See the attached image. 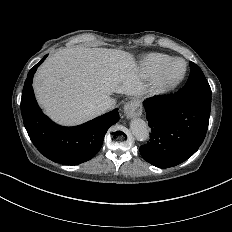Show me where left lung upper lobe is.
<instances>
[{
    "instance_id": "left-lung-upper-lobe-1",
    "label": "left lung upper lobe",
    "mask_w": 232,
    "mask_h": 232,
    "mask_svg": "<svg viewBox=\"0 0 232 232\" xmlns=\"http://www.w3.org/2000/svg\"><path fill=\"white\" fill-rule=\"evenodd\" d=\"M191 73L185 86L177 92L183 99L196 101L211 108V89L201 69L190 61Z\"/></svg>"
}]
</instances>
